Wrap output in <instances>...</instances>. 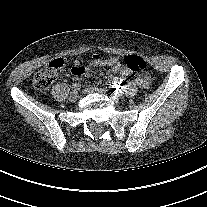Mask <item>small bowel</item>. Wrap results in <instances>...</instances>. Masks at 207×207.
I'll return each instance as SVG.
<instances>
[{"mask_svg":"<svg viewBox=\"0 0 207 207\" xmlns=\"http://www.w3.org/2000/svg\"><path fill=\"white\" fill-rule=\"evenodd\" d=\"M83 61H77L75 67L73 68V74L78 77H89L90 71L86 67H82ZM92 65H108L112 66L113 70L123 76H127L130 74L129 69L120 63L119 59L115 56L101 59L100 56H95L93 59L89 61ZM121 82V80L119 81ZM123 83V82H122ZM135 84L142 87L147 88L150 85V77L148 75H141L135 80Z\"/></svg>","mask_w":207,"mask_h":207,"instance_id":"obj_1","label":"small bowel"}]
</instances>
